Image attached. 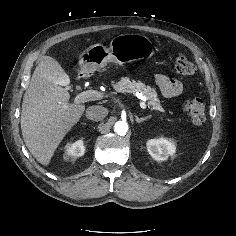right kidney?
I'll use <instances>...</instances> for the list:
<instances>
[{
  "label": "right kidney",
  "instance_id": "ca27d5eb",
  "mask_svg": "<svg viewBox=\"0 0 236 236\" xmlns=\"http://www.w3.org/2000/svg\"><path fill=\"white\" fill-rule=\"evenodd\" d=\"M84 153H85V147L82 139L76 141L75 143L68 144L66 146L65 150L66 156L80 157Z\"/></svg>",
  "mask_w": 236,
  "mask_h": 236
}]
</instances>
